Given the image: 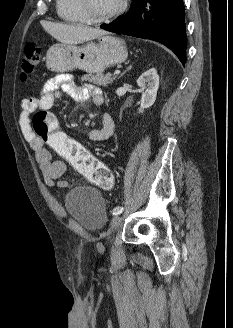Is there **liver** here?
I'll return each instance as SVG.
<instances>
[{
    "label": "liver",
    "mask_w": 233,
    "mask_h": 328,
    "mask_svg": "<svg viewBox=\"0 0 233 328\" xmlns=\"http://www.w3.org/2000/svg\"><path fill=\"white\" fill-rule=\"evenodd\" d=\"M41 24L48 34L63 44H79L105 34V31L83 25H67L47 21H43Z\"/></svg>",
    "instance_id": "1"
}]
</instances>
